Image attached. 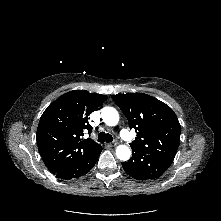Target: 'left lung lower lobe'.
Listing matches in <instances>:
<instances>
[{
	"label": "left lung lower lobe",
	"instance_id": "obj_1",
	"mask_svg": "<svg viewBox=\"0 0 221 221\" xmlns=\"http://www.w3.org/2000/svg\"><path fill=\"white\" fill-rule=\"evenodd\" d=\"M173 160L147 155L133 151L128 162H123L125 172L138 180L155 179L162 175L171 165Z\"/></svg>",
	"mask_w": 221,
	"mask_h": 221
}]
</instances>
